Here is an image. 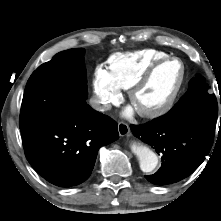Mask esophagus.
Instances as JSON below:
<instances>
[{"instance_id":"esophagus-1","label":"esophagus","mask_w":221,"mask_h":221,"mask_svg":"<svg viewBox=\"0 0 221 221\" xmlns=\"http://www.w3.org/2000/svg\"><path fill=\"white\" fill-rule=\"evenodd\" d=\"M118 132L120 136H128L130 133V128L128 124L124 122H119L118 123Z\"/></svg>"}]
</instances>
